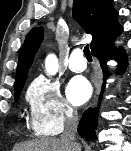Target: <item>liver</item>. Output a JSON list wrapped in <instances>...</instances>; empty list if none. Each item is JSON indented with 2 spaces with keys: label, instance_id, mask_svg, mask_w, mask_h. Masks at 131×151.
Listing matches in <instances>:
<instances>
[{
  "label": "liver",
  "instance_id": "1",
  "mask_svg": "<svg viewBox=\"0 0 131 151\" xmlns=\"http://www.w3.org/2000/svg\"><path fill=\"white\" fill-rule=\"evenodd\" d=\"M13 151H75V146L61 138H45L15 146Z\"/></svg>",
  "mask_w": 131,
  "mask_h": 151
}]
</instances>
